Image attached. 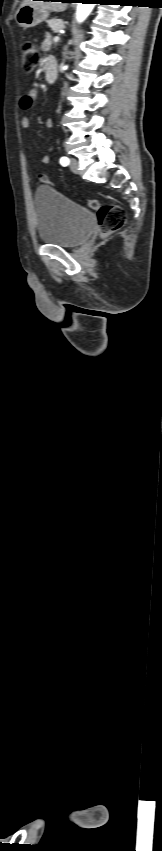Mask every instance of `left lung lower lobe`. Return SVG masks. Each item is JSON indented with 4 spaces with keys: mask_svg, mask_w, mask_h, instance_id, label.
Instances as JSON below:
<instances>
[{
    "mask_svg": "<svg viewBox=\"0 0 162 851\" xmlns=\"http://www.w3.org/2000/svg\"><path fill=\"white\" fill-rule=\"evenodd\" d=\"M63 1L64 2H70V0H63ZM82 1L88 2V3H99L100 2V0H82Z\"/></svg>",
    "mask_w": 162,
    "mask_h": 851,
    "instance_id": "1",
    "label": "left lung lower lobe"
}]
</instances>
